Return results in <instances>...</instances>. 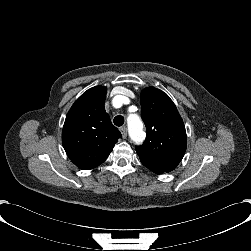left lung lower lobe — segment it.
Listing matches in <instances>:
<instances>
[{"label":"left lung lower lobe","mask_w":251,"mask_h":251,"mask_svg":"<svg viewBox=\"0 0 251 251\" xmlns=\"http://www.w3.org/2000/svg\"><path fill=\"white\" fill-rule=\"evenodd\" d=\"M152 172H154V171H152ZM154 173H156V172H154ZM156 174H162V173H156Z\"/></svg>","instance_id":"left-lung-lower-lobe-1"}]
</instances>
